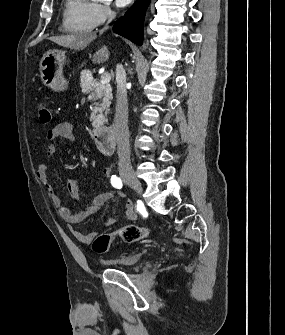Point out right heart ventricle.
Here are the masks:
<instances>
[{
    "label": "right heart ventricle",
    "mask_w": 285,
    "mask_h": 335,
    "mask_svg": "<svg viewBox=\"0 0 285 335\" xmlns=\"http://www.w3.org/2000/svg\"><path fill=\"white\" fill-rule=\"evenodd\" d=\"M94 2H84L83 5L91 8ZM69 24H72L69 22ZM79 29L84 31H90L94 26V22L92 21L91 17H85L83 19H80L74 23Z\"/></svg>",
    "instance_id": "e07e8e85"
}]
</instances>
